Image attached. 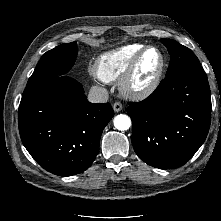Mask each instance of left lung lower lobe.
Returning <instances> with one entry per match:
<instances>
[{"mask_svg":"<svg viewBox=\"0 0 221 221\" xmlns=\"http://www.w3.org/2000/svg\"><path fill=\"white\" fill-rule=\"evenodd\" d=\"M129 104L134 150L153 167L184 165L207 137L211 96L200 64L186 65L167 75L148 98Z\"/></svg>","mask_w":221,"mask_h":221,"instance_id":"obj_1","label":"left lung lower lobe"}]
</instances>
